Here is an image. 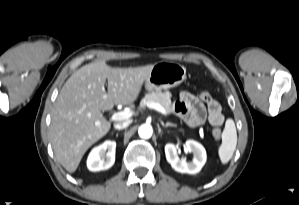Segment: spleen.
<instances>
[{"label":"spleen","mask_w":299,"mask_h":205,"mask_svg":"<svg viewBox=\"0 0 299 205\" xmlns=\"http://www.w3.org/2000/svg\"><path fill=\"white\" fill-rule=\"evenodd\" d=\"M237 145V132L235 123L228 119L222 133V143L218 149V155L223 165L227 164L233 156Z\"/></svg>","instance_id":"3e777b00"}]
</instances>
